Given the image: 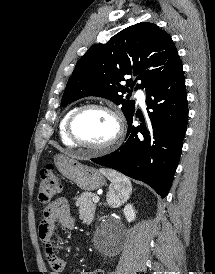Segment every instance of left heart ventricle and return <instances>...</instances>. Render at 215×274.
<instances>
[{"mask_svg": "<svg viewBox=\"0 0 215 274\" xmlns=\"http://www.w3.org/2000/svg\"><path fill=\"white\" fill-rule=\"evenodd\" d=\"M74 131L83 142L100 145L113 137L116 125L109 113L100 109H89L77 118Z\"/></svg>", "mask_w": 215, "mask_h": 274, "instance_id": "left-heart-ventricle-1", "label": "left heart ventricle"}]
</instances>
